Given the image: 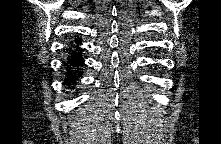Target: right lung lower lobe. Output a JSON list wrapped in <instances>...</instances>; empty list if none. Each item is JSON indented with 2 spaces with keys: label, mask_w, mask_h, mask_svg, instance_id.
I'll return each mask as SVG.
<instances>
[{
  "label": "right lung lower lobe",
  "mask_w": 221,
  "mask_h": 144,
  "mask_svg": "<svg viewBox=\"0 0 221 144\" xmlns=\"http://www.w3.org/2000/svg\"><path fill=\"white\" fill-rule=\"evenodd\" d=\"M80 43L81 42L79 40H76V50L70 54V57L68 59V66L73 67L72 70L67 72V78L64 80V83L68 86H71V84L75 80V74H77L78 76L81 75L79 68L83 65L84 59L81 57L80 48L78 47V44Z\"/></svg>",
  "instance_id": "right-lung-lower-lobe-1"
}]
</instances>
